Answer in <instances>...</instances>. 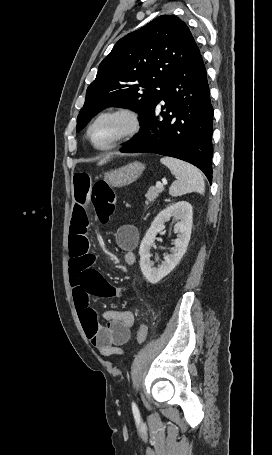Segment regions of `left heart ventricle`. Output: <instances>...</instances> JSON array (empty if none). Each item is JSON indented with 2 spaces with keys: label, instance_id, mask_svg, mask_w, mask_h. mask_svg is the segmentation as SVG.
I'll return each mask as SVG.
<instances>
[{
  "label": "left heart ventricle",
  "instance_id": "1",
  "mask_svg": "<svg viewBox=\"0 0 272 455\" xmlns=\"http://www.w3.org/2000/svg\"><path fill=\"white\" fill-rule=\"evenodd\" d=\"M125 121L120 117H107L92 129L91 136L98 146H105L116 139L124 130Z\"/></svg>",
  "mask_w": 272,
  "mask_h": 455
}]
</instances>
